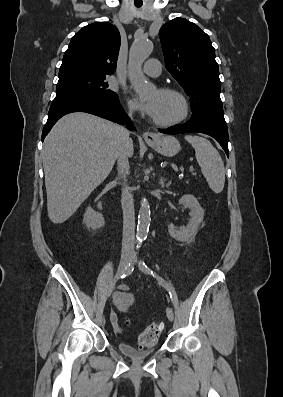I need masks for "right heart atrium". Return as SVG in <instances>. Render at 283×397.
Returning <instances> with one entry per match:
<instances>
[{
    "mask_svg": "<svg viewBox=\"0 0 283 397\" xmlns=\"http://www.w3.org/2000/svg\"><path fill=\"white\" fill-rule=\"evenodd\" d=\"M126 108H127V112H128L129 114H132V113H134V111H135V107H134V105H133L131 102H128V103H127Z\"/></svg>",
    "mask_w": 283,
    "mask_h": 397,
    "instance_id": "1",
    "label": "right heart atrium"
}]
</instances>
